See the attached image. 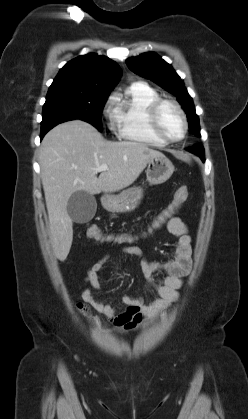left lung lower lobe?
Listing matches in <instances>:
<instances>
[{
    "label": "left lung lower lobe",
    "mask_w": 248,
    "mask_h": 419,
    "mask_svg": "<svg viewBox=\"0 0 248 419\" xmlns=\"http://www.w3.org/2000/svg\"><path fill=\"white\" fill-rule=\"evenodd\" d=\"M190 152L198 155L203 161L204 157V148L201 145H196L188 149Z\"/></svg>",
    "instance_id": "obj_1"
}]
</instances>
